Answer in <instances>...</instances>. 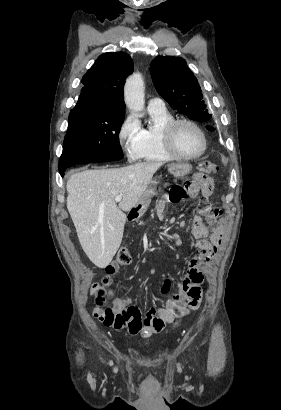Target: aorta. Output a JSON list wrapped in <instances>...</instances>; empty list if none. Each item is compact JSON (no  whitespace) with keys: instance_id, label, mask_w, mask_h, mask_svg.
I'll use <instances>...</instances> for the list:
<instances>
[{"instance_id":"1","label":"aorta","mask_w":281,"mask_h":410,"mask_svg":"<svg viewBox=\"0 0 281 410\" xmlns=\"http://www.w3.org/2000/svg\"><path fill=\"white\" fill-rule=\"evenodd\" d=\"M124 98L131 111L141 112L144 109V81L141 74L135 73L126 80Z\"/></svg>"}]
</instances>
